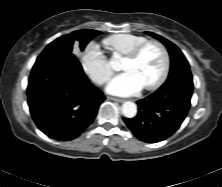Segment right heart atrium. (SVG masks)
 Instances as JSON below:
<instances>
[{"label": "right heart atrium", "mask_w": 222, "mask_h": 187, "mask_svg": "<svg viewBox=\"0 0 222 187\" xmlns=\"http://www.w3.org/2000/svg\"><path fill=\"white\" fill-rule=\"evenodd\" d=\"M80 62L84 71L97 84L106 83L113 74L109 60L95 42H90L86 45L81 53Z\"/></svg>", "instance_id": "1"}]
</instances>
